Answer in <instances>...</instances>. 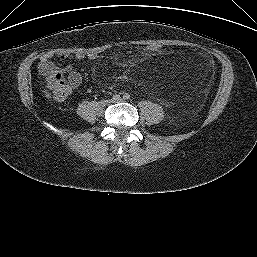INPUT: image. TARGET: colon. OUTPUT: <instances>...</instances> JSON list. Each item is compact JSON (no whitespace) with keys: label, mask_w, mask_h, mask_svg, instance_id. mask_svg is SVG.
Returning <instances> with one entry per match:
<instances>
[{"label":"colon","mask_w":257,"mask_h":257,"mask_svg":"<svg viewBox=\"0 0 257 257\" xmlns=\"http://www.w3.org/2000/svg\"><path fill=\"white\" fill-rule=\"evenodd\" d=\"M147 50L152 53H157L161 50L158 44H150ZM47 87L53 96L59 100H64L70 94V87L63 74L60 72H50L47 75Z\"/></svg>","instance_id":"colon-1"}]
</instances>
